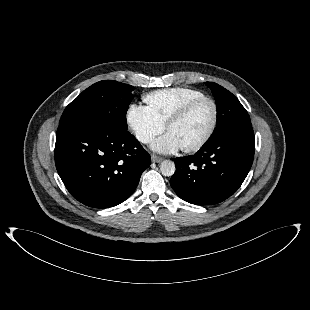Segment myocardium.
Wrapping results in <instances>:
<instances>
[{"label": "myocardium", "mask_w": 310, "mask_h": 310, "mask_svg": "<svg viewBox=\"0 0 310 310\" xmlns=\"http://www.w3.org/2000/svg\"><path fill=\"white\" fill-rule=\"evenodd\" d=\"M203 102H208L212 107L211 124L208 131L200 141L194 145L183 147L185 152L199 151L211 140L218 123V106L216 102L212 98L206 96L190 100L185 105H183L165 124L166 129L169 130L170 127L182 121L197 105Z\"/></svg>", "instance_id": "obj_1"}]
</instances>
